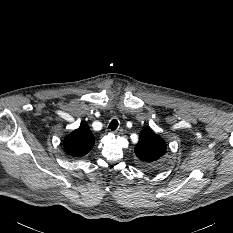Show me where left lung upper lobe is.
I'll use <instances>...</instances> for the list:
<instances>
[{
  "label": "left lung upper lobe",
  "mask_w": 233,
  "mask_h": 233,
  "mask_svg": "<svg viewBox=\"0 0 233 233\" xmlns=\"http://www.w3.org/2000/svg\"><path fill=\"white\" fill-rule=\"evenodd\" d=\"M135 154L139 158V165L147 171H158L164 165L166 143L150 128L140 133L139 142L135 147Z\"/></svg>",
  "instance_id": "5c2ea615"
}]
</instances>
